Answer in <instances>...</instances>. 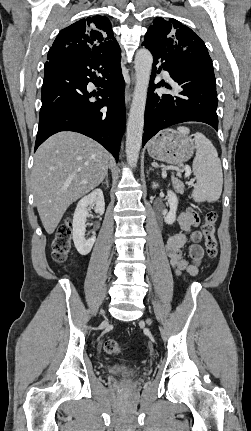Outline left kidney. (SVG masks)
<instances>
[{
    "label": "left kidney",
    "instance_id": "obj_1",
    "mask_svg": "<svg viewBox=\"0 0 251 431\" xmlns=\"http://www.w3.org/2000/svg\"><path fill=\"white\" fill-rule=\"evenodd\" d=\"M159 185L155 182H153L152 188L156 189ZM167 198H168V203L170 206V211L167 214V216L165 217L164 221L166 224H173L176 220V211H177V207H178V198L176 196V194L174 192H172L171 190L167 191Z\"/></svg>",
    "mask_w": 251,
    "mask_h": 431
}]
</instances>
